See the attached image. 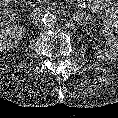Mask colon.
I'll list each match as a JSON object with an SVG mask.
<instances>
[{
	"mask_svg": "<svg viewBox=\"0 0 118 118\" xmlns=\"http://www.w3.org/2000/svg\"><path fill=\"white\" fill-rule=\"evenodd\" d=\"M30 3H36L38 0H28ZM14 21L13 12L0 5V27L12 24Z\"/></svg>",
	"mask_w": 118,
	"mask_h": 118,
	"instance_id": "5ec220e1",
	"label": "colon"
}]
</instances>
